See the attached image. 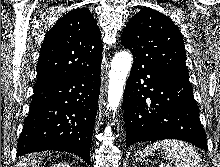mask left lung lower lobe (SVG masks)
<instances>
[{
	"mask_svg": "<svg viewBox=\"0 0 220 167\" xmlns=\"http://www.w3.org/2000/svg\"><path fill=\"white\" fill-rule=\"evenodd\" d=\"M188 77L133 63L124 92L126 146L179 139L207 150Z\"/></svg>",
	"mask_w": 220,
	"mask_h": 167,
	"instance_id": "obj_1",
	"label": "left lung lower lobe"
}]
</instances>
